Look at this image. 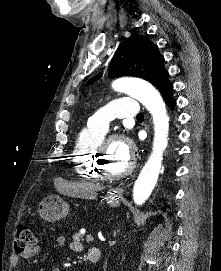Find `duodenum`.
Listing matches in <instances>:
<instances>
[{"label": "duodenum", "mask_w": 221, "mask_h": 271, "mask_svg": "<svg viewBox=\"0 0 221 271\" xmlns=\"http://www.w3.org/2000/svg\"><path fill=\"white\" fill-rule=\"evenodd\" d=\"M100 257H101V252L97 248L90 250V252L88 253V259L91 263H97Z\"/></svg>", "instance_id": "duodenum-1"}]
</instances>
